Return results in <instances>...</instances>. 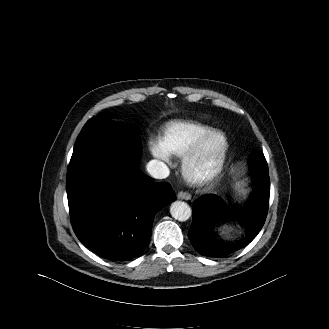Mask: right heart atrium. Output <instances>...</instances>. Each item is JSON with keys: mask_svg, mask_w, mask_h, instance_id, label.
I'll list each match as a JSON object with an SVG mask.
<instances>
[{"mask_svg": "<svg viewBox=\"0 0 329 329\" xmlns=\"http://www.w3.org/2000/svg\"><path fill=\"white\" fill-rule=\"evenodd\" d=\"M150 151L154 157L157 159L169 163L170 162V155L169 153L161 146L160 143L153 142L150 145Z\"/></svg>", "mask_w": 329, "mask_h": 329, "instance_id": "right-heart-atrium-1", "label": "right heart atrium"}]
</instances>
